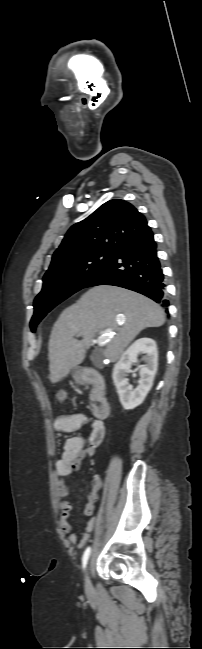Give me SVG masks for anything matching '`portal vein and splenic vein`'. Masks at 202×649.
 I'll use <instances>...</instances> for the list:
<instances>
[{"mask_svg":"<svg viewBox=\"0 0 202 649\" xmlns=\"http://www.w3.org/2000/svg\"><path fill=\"white\" fill-rule=\"evenodd\" d=\"M110 334L111 333H101L96 340L97 344L98 345L106 344L109 341Z\"/></svg>","mask_w":202,"mask_h":649,"instance_id":"obj_1","label":"portal vein and splenic vein"}]
</instances>
